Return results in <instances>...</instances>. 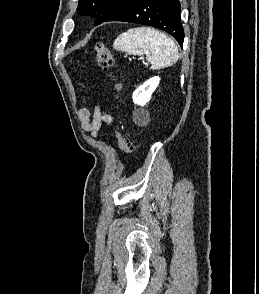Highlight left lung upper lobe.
I'll use <instances>...</instances> for the list:
<instances>
[{"label":"left lung upper lobe","instance_id":"left-lung-upper-lobe-1","mask_svg":"<svg viewBox=\"0 0 259 294\" xmlns=\"http://www.w3.org/2000/svg\"><path fill=\"white\" fill-rule=\"evenodd\" d=\"M124 0H79L77 12L94 17L95 25L104 22L108 14Z\"/></svg>","mask_w":259,"mask_h":294}]
</instances>
